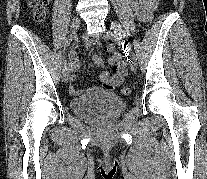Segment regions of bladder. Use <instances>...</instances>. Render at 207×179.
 Listing matches in <instances>:
<instances>
[{"instance_id":"obj_1","label":"bladder","mask_w":207,"mask_h":179,"mask_svg":"<svg viewBox=\"0 0 207 179\" xmlns=\"http://www.w3.org/2000/svg\"><path fill=\"white\" fill-rule=\"evenodd\" d=\"M127 101L115 93L90 88L82 95L72 99V111L87 120L116 119L126 109Z\"/></svg>"}]
</instances>
